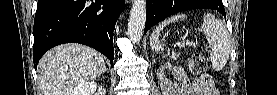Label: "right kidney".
Here are the masks:
<instances>
[{
	"label": "right kidney",
	"instance_id": "ca27d5eb",
	"mask_svg": "<svg viewBox=\"0 0 277 95\" xmlns=\"http://www.w3.org/2000/svg\"><path fill=\"white\" fill-rule=\"evenodd\" d=\"M98 88V85L96 82H85L82 84H79L77 87L74 88L71 95H93L96 89ZM99 92L101 94H105V90L102 88H99Z\"/></svg>",
	"mask_w": 277,
	"mask_h": 95
}]
</instances>
